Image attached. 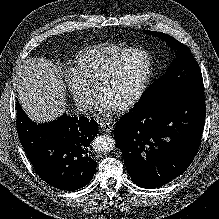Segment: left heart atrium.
<instances>
[{
  "label": "left heart atrium",
  "instance_id": "left-heart-atrium-1",
  "mask_svg": "<svg viewBox=\"0 0 219 219\" xmlns=\"http://www.w3.org/2000/svg\"><path fill=\"white\" fill-rule=\"evenodd\" d=\"M100 106H101V108L103 109V110H109V109H111V105L107 102V101H105L103 98L100 100Z\"/></svg>",
  "mask_w": 219,
  "mask_h": 219
}]
</instances>
